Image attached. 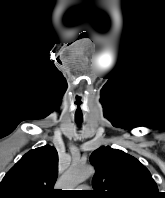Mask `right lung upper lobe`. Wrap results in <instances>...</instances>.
<instances>
[{
    "label": "right lung upper lobe",
    "instance_id": "obj_1",
    "mask_svg": "<svg viewBox=\"0 0 165 198\" xmlns=\"http://www.w3.org/2000/svg\"><path fill=\"white\" fill-rule=\"evenodd\" d=\"M58 153L50 145L26 153L0 183V198H48L57 179Z\"/></svg>",
    "mask_w": 165,
    "mask_h": 198
}]
</instances>
